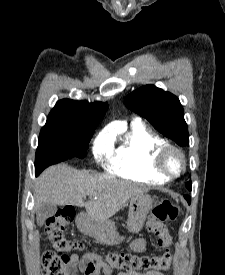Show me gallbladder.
Listing matches in <instances>:
<instances>
[{"mask_svg":"<svg viewBox=\"0 0 225 275\" xmlns=\"http://www.w3.org/2000/svg\"><path fill=\"white\" fill-rule=\"evenodd\" d=\"M57 211V207L50 203L42 204L37 212L38 224L42 225L48 218L52 217Z\"/></svg>","mask_w":225,"mask_h":275,"instance_id":"1","label":"gallbladder"}]
</instances>
